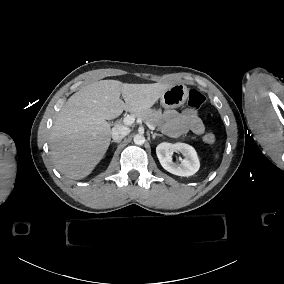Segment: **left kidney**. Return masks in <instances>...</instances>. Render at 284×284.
Segmentation results:
<instances>
[{"mask_svg": "<svg viewBox=\"0 0 284 284\" xmlns=\"http://www.w3.org/2000/svg\"><path fill=\"white\" fill-rule=\"evenodd\" d=\"M175 150L181 151L185 157L180 165L172 161V154ZM156 154L162 167L174 175L188 177L199 169L197 154L194 148L187 144L162 142L157 145Z\"/></svg>", "mask_w": 284, "mask_h": 284, "instance_id": "left-kidney-1", "label": "left kidney"}]
</instances>
